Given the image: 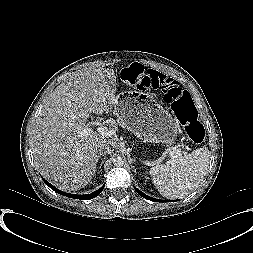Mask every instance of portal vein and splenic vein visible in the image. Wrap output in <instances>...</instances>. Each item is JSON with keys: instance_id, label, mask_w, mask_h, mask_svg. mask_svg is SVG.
I'll use <instances>...</instances> for the list:
<instances>
[{"instance_id": "18ae733b", "label": "portal vein and splenic vein", "mask_w": 253, "mask_h": 253, "mask_svg": "<svg viewBox=\"0 0 253 253\" xmlns=\"http://www.w3.org/2000/svg\"><path fill=\"white\" fill-rule=\"evenodd\" d=\"M92 131L91 128L87 127L86 129L83 130V134L85 135H88V133H90ZM97 131L100 135L104 136V137H112L114 134H115V131L114 129L110 128V127H106V126H103V125H100L98 128H97ZM170 155L172 156V158H177L178 156L181 155L180 151L179 150H175V151H172L170 153Z\"/></svg>"}]
</instances>
